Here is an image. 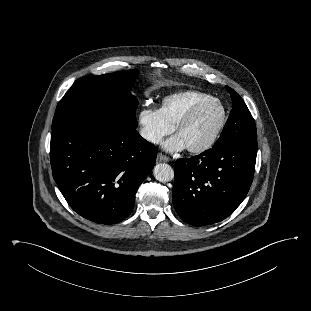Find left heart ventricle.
<instances>
[{
	"instance_id": "b2bd125f",
	"label": "left heart ventricle",
	"mask_w": 311,
	"mask_h": 311,
	"mask_svg": "<svg viewBox=\"0 0 311 311\" xmlns=\"http://www.w3.org/2000/svg\"><path fill=\"white\" fill-rule=\"evenodd\" d=\"M220 118V107L216 103L205 106L195 118L177 134L186 147L203 144L211 136Z\"/></svg>"
}]
</instances>
